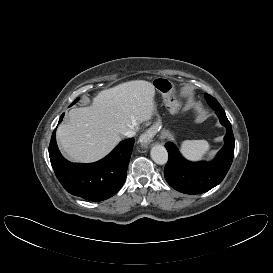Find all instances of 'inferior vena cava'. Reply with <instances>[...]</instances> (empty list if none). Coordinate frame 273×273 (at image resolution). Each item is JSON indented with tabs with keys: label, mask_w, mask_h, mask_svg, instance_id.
I'll use <instances>...</instances> for the list:
<instances>
[{
	"label": "inferior vena cava",
	"mask_w": 273,
	"mask_h": 273,
	"mask_svg": "<svg viewBox=\"0 0 273 273\" xmlns=\"http://www.w3.org/2000/svg\"><path fill=\"white\" fill-rule=\"evenodd\" d=\"M135 134H136V132H135V129H133V128L127 129L126 131L123 132V135L128 138L134 137Z\"/></svg>",
	"instance_id": "obj_1"
}]
</instances>
